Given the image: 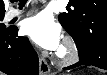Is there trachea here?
<instances>
[{
	"instance_id": "3493384b",
	"label": "trachea",
	"mask_w": 107,
	"mask_h": 75,
	"mask_svg": "<svg viewBox=\"0 0 107 75\" xmlns=\"http://www.w3.org/2000/svg\"><path fill=\"white\" fill-rule=\"evenodd\" d=\"M20 1V4H25L27 0H18Z\"/></svg>"
}]
</instances>
